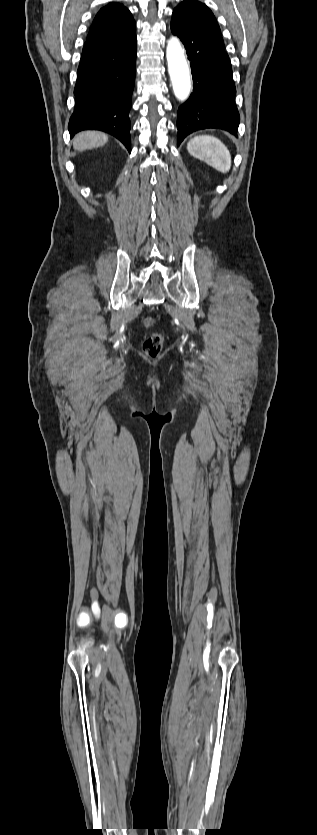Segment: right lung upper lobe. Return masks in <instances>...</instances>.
I'll list each match as a JSON object with an SVG mask.
<instances>
[{
  "mask_svg": "<svg viewBox=\"0 0 317 835\" xmlns=\"http://www.w3.org/2000/svg\"><path fill=\"white\" fill-rule=\"evenodd\" d=\"M136 31L130 11L119 3H109L97 13L87 41L97 38L105 44H116L127 40Z\"/></svg>",
  "mask_w": 317,
  "mask_h": 835,
  "instance_id": "obj_1",
  "label": "right lung upper lobe"
}]
</instances>
